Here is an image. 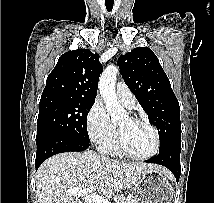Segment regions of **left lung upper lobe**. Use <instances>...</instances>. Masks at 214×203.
I'll return each mask as SVG.
<instances>
[{
    "label": "left lung upper lobe",
    "instance_id": "5c2ea615",
    "mask_svg": "<svg viewBox=\"0 0 214 203\" xmlns=\"http://www.w3.org/2000/svg\"><path fill=\"white\" fill-rule=\"evenodd\" d=\"M121 75L159 133L160 150L180 143L179 102L157 56L138 47L119 57Z\"/></svg>",
    "mask_w": 214,
    "mask_h": 203
}]
</instances>
